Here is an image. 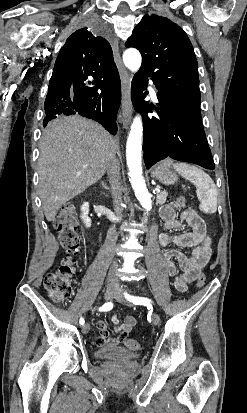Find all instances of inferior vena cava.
<instances>
[{
  "mask_svg": "<svg viewBox=\"0 0 247 413\" xmlns=\"http://www.w3.org/2000/svg\"><path fill=\"white\" fill-rule=\"evenodd\" d=\"M117 144H118L117 140H114V146L109 154L110 160L106 166V170H107L109 182L112 188V196L116 204L115 211L117 215H121L122 209H120V207H117V204L121 198V184L119 182L120 166H119L118 158H116L115 156ZM108 281H113V283H118V279L116 275V265H113V267H111L108 273Z\"/></svg>",
  "mask_w": 247,
  "mask_h": 413,
  "instance_id": "inferior-vena-cava-1",
  "label": "inferior vena cava"
}]
</instances>
